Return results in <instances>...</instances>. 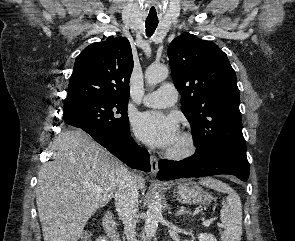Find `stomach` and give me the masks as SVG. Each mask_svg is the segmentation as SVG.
Masks as SVG:
<instances>
[{"label":"stomach","instance_id":"0dacf381","mask_svg":"<svg viewBox=\"0 0 295 241\" xmlns=\"http://www.w3.org/2000/svg\"><path fill=\"white\" fill-rule=\"evenodd\" d=\"M174 195L184 204H207L212 196L191 180H182L175 184Z\"/></svg>","mask_w":295,"mask_h":241}]
</instances>
